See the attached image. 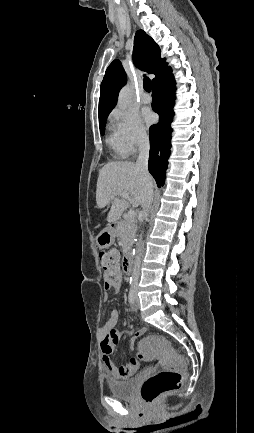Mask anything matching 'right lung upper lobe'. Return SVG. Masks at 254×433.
<instances>
[{
  "label": "right lung upper lobe",
  "mask_w": 254,
  "mask_h": 433,
  "mask_svg": "<svg viewBox=\"0 0 254 433\" xmlns=\"http://www.w3.org/2000/svg\"><path fill=\"white\" fill-rule=\"evenodd\" d=\"M133 60L137 67L149 74H155L154 85L170 70L165 59L160 57V48L143 30L134 37ZM127 81V75L119 60H114L107 68L100 87L99 123L106 120L115 107L120 89Z\"/></svg>",
  "instance_id": "1"
}]
</instances>
